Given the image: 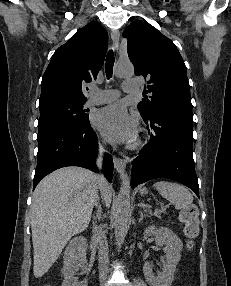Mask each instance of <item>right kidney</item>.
<instances>
[{"mask_svg": "<svg viewBox=\"0 0 231 286\" xmlns=\"http://www.w3.org/2000/svg\"><path fill=\"white\" fill-rule=\"evenodd\" d=\"M87 241L83 236L73 238L64 253V280L62 286H87V280L81 282L75 277V273L87 267L86 260Z\"/></svg>", "mask_w": 231, "mask_h": 286, "instance_id": "ca27d5eb", "label": "right kidney"}]
</instances>
